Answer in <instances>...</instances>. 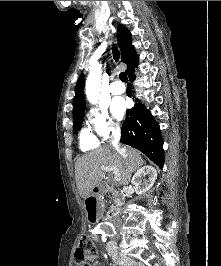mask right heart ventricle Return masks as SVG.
<instances>
[{
	"mask_svg": "<svg viewBox=\"0 0 221 266\" xmlns=\"http://www.w3.org/2000/svg\"><path fill=\"white\" fill-rule=\"evenodd\" d=\"M99 145L98 139L87 129H83L80 134V146L81 149L86 151V150H91L94 148H97Z\"/></svg>",
	"mask_w": 221,
	"mask_h": 266,
	"instance_id": "1",
	"label": "right heart ventricle"
}]
</instances>
